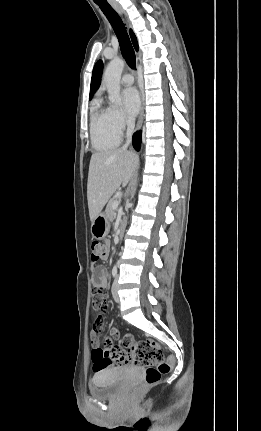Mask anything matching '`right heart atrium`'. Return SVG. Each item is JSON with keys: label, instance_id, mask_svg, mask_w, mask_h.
Segmentation results:
<instances>
[{"label": "right heart atrium", "instance_id": "d8ad5b80", "mask_svg": "<svg viewBox=\"0 0 261 431\" xmlns=\"http://www.w3.org/2000/svg\"><path fill=\"white\" fill-rule=\"evenodd\" d=\"M109 121L112 128L121 134L125 129H127L131 122L125 117L123 112L118 108L110 107L107 109Z\"/></svg>", "mask_w": 261, "mask_h": 431}]
</instances>
